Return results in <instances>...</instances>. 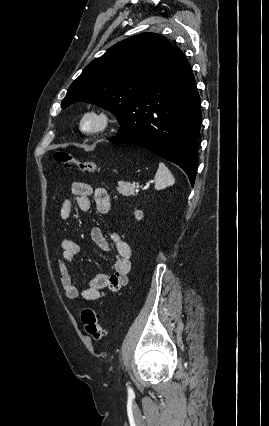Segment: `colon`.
<instances>
[{
    "label": "colon",
    "instance_id": "colon-1",
    "mask_svg": "<svg viewBox=\"0 0 269 426\" xmlns=\"http://www.w3.org/2000/svg\"><path fill=\"white\" fill-rule=\"evenodd\" d=\"M53 158L62 165L76 166L82 172L96 173L100 170L96 162L77 159L69 152L63 150L56 151L53 154ZM81 316L86 333L97 341L103 340L106 333L101 323L100 311L95 308H85Z\"/></svg>",
    "mask_w": 269,
    "mask_h": 426
}]
</instances>
